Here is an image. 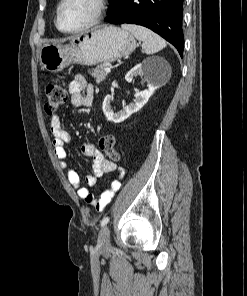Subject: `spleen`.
I'll use <instances>...</instances> for the list:
<instances>
[{"mask_svg":"<svg viewBox=\"0 0 247 296\" xmlns=\"http://www.w3.org/2000/svg\"><path fill=\"white\" fill-rule=\"evenodd\" d=\"M121 27L134 35L139 41H142V49L148 55L166 47L164 39L148 28L134 24H123Z\"/></svg>","mask_w":247,"mask_h":296,"instance_id":"1","label":"spleen"}]
</instances>
